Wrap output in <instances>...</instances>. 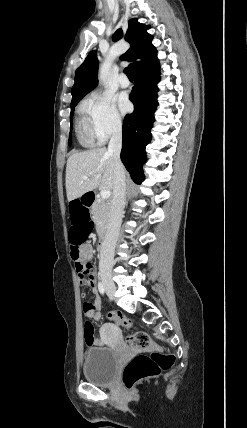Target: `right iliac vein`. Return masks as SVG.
I'll return each mask as SVG.
<instances>
[{
    "label": "right iliac vein",
    "mask_w": 247,
    "mask_h": 428,
    "mask_svg": "<svg viewBox=\"0 0 247 428\" xmlns=\"http://www.w3.org/2000/svg\"><path fill=\"white\" fill-rule=\"evenodd\" d=\"M100 275L107 294L109 295V297L113 298L116 287L111 278V274L107 271H101Z\"/></svg>",
    "instance_id": "63e3f726"
}]
</instances>
